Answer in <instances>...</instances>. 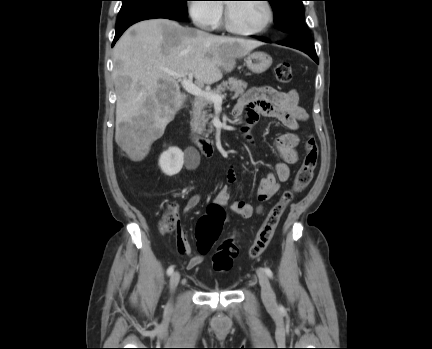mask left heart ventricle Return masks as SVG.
Returning <instances> with one entry per match:
<instances>
[{"instance_id": "b2bd125f", "label": "left heart ventricle", "mask_w": 432, "mask_h": 349, "mask_svg": "<svg viewBox=\"0 0 432 349\" xmlns=\"http://www.w3.org/2000/svg\"><path fill=\"white\" fill-rule=\"evenodd\" d=\"M233 24L242 30H256L267 21L268 11L263 2L229 3Z\"/></svg>"}]
</instances>
